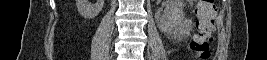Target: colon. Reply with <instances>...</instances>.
Wrapping results in <instances>:
<instances>
[{
    "mask_svg": "<svg viewBox=\"0 0 267 60\" xmlns=\"http://www.w3.org/2000/svg\"><path fill=\"white\" fill-rule=\"evenodd\" d=\"M216 0L197 1L196 17L197 32L192 38L191 48L196 59L206 60L211 55L210 39L213 21L216 14Z\"/></svg>",
    "mask_w": 267,
    "mask_h": 60,
    "instance_id": "1",
    "label": "colon"
}]
</instances>
